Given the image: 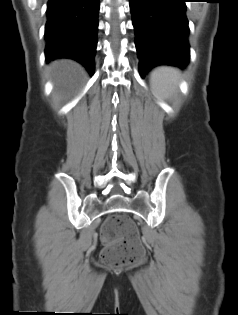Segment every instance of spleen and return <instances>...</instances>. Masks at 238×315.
I'll return each instance as SVG.
<instances>
[{"label": "spleen", "instance_id": "spleen-1", "mask_svg": "<svg viewBox=\"0 0 238 315\" xmlns=\"http://www.w3.org/2000/svg\"><path fill=\"white\" fill-rule=\"evenodd\" d=\"M181 72L170 66H160L150 74V86L153 93L161 99H169L179 90Z\"/></svg>", "mask_w": 238, "mask_h": 315}]
</instances>
